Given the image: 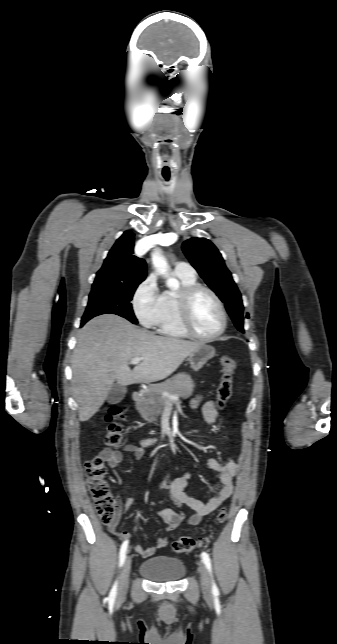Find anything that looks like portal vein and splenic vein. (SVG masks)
<instances>
[{"instance_id": "obj_1", "label": "portal vein and splenic vein", "mask_w": 337, "mask_h": 644, "mask_svg": "<svg viewBox=\"0 0 337 644\" xmlns=\"http://www.w3.org/2000/svg\"><path fill=\"white\" fill-rule=\"evenodd\" d=\"M141 361H142V358H140V357H136V358L131 359L130 364H132V365H137V364H139ZM162 394H163V396H164V397H166V398H167V399H169V400H173V401H175V400H178V399H179V397H178L177 395H172V394H170V393H168V392H163Z\"/></svg>"}]
</instances>
